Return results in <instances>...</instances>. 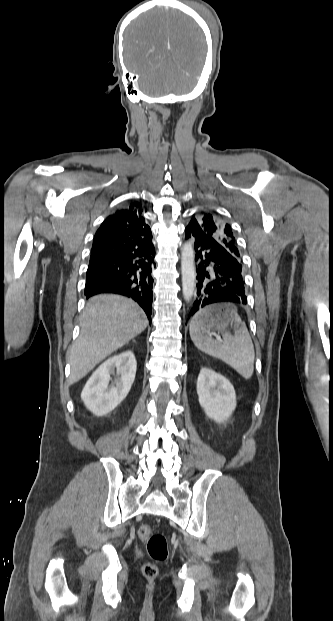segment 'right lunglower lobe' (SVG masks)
Masks as SVG:
<instances>
[{
  "instance_id": "obj_1",
  "label": "right lung lower lobe",
  "mask_w": 333,
  "mask_h": 621,
  "mask_svg": "<svg viewBox=\"0 0 333 621\" xmlns=\"http://www.w3.org/2000/svg\"><path fill=\"white\" fill-rule=\"evenodd\" d=\"M154 256L153 244L134 251L118 248L92 250L86 275V297L99 293L127 296L143 308L151 321Z\"/></svg>"
}]
</instances>
